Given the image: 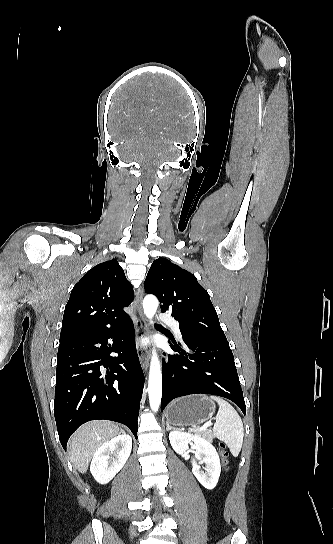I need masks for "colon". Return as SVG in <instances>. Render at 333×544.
<instances>
[{
  "label": "colon",
  "mask_w": 333,
  "mask_h": 544,
  "mask_svg": "<svg viewBox=\"0 0 333 544\" xmlns=\"http://www.w3.org/2000/svg\"><path fill=\"white\" fill-rule=\"evenodd\" d=\"M217 449L219 450L220 457H221V460H222V464H223L224 468L226 469L227 457H228V452L226 450V446H225L224 443H219L217 445Z\"/></svg>",
  "instance_id": "colon-1"
}]
</instances>
